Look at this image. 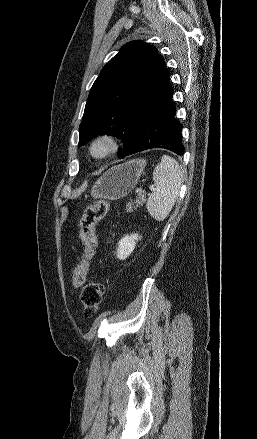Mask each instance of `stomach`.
<instances>
[{"mask_svg": "<svg viewBox=\"0 0 257 439\" xmlns=\"http://www.w3.org/2000/svg\"><path fill=\"white\" fill-rule=\"evenodd\" d=\"M146 160L134 159L110 168L93 185L94 199L118 200L127 196L136 186Z\"/></svg>", "mask_w": 257, "mask_h": 439, "instance_id": "1", "label": "stomach"}]
</instances>
